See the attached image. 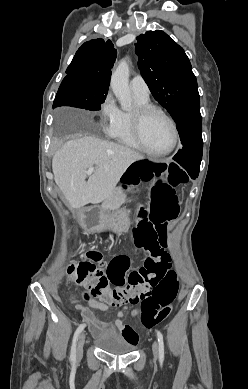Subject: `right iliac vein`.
<instances>
[{"label": "right iliac vein", "instance_id": "1", "mask_svg": "<svg viewBox=\"0 0 248 389\" xmlns=\"http://www.w3.org/2000/svg\"><path fill=\"white\" fill-rule=\"evenodd\" d=\"M85 338H86L85 333L80 334L79 339H78V345H77V356H80L83 352Z\"/></svg>", "mask_w": 248, "mask_h": 389}]
</instances>
